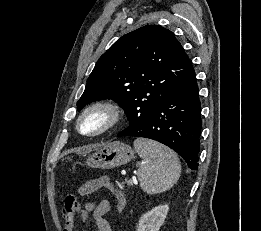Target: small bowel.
Instances as JSON below:
<instances>
[{
	"mask_svg": "<svg viewBox=\"0 0 261 231\" xmlns=\"http://www.w3.org/2000/svg\"><path fill=\"white\" fill-rule=\"evenodd\" d=\"M93 182H95L96 184V189L108 188L116 194L117 198H119V200L122 203H124L125 201L124 195L121 192L114 190L110 182V179L107 176H100L94 179ZM79 193L81 195H86V193L83 190V187L80 188ZM109 211H110V203L108 200L90 202L82 210L81 217L84 220H88L90 215H92L97 231H112L110 224L105 218V215ZM63 231H74V221L73 220L70 222L65 221V226Z\"/></svg>",
	"mask_w": 261,
	"mask_h": 231,
	"instance_id": "1",
	"label": "small bowel"
}]
</instances>
